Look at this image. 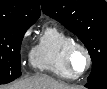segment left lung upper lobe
I'll list each match as a JSON object with an SVG mask.
<instances>
[{"label":"left lung upper lobe","instance_id":"obj_1","mask_svg":"<svg viewBox=\"0 0 107 89\" xmlns=\"http://www.w3.org/2000/svg\"><path fill=\"white\" fill-rule=\"evenodd\" d=\"M43 12L84 43L92 59L91 82L107 74V3L104 0H41Z\"/></svg>","mask_w":107,"mask_h":89}]
</instances>
